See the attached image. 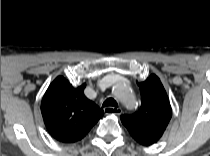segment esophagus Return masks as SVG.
<instances>
[{
  "label": "esophagus",
  "mask_w": 210,
  "mask_h": 156,
  "mask_svg": "<svg viewBox=\"0 0 210 156\" xmlns=\"http://www.w3.org/2000/svg\"><path fill=\"white\" fill-rule=\"evenodd\" d=\"M111 110H112V107H105L104 108V112H106V114H110L111 113ZM117 110H119L120 113H122L121 108H118Z\"/></svg>",
  "instance_id": "obj_1"
}]
</instances>
